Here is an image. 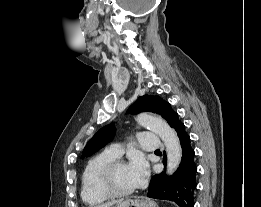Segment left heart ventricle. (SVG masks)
<instances>
[{"label":"left heart ventricle","instance_id":"1","mask_svg":"<svg viewBox=\"0 0 261 207\" xmlns=\"http://www.w3.org/2000/svg\"><path fill=\"white\" fill-rule=\"evenodd\" d=\"M113 185L116 189L121 191L134 188L127 165H121L116 168L113 174Z\"/></svg>","mask_w":261,"mask_h":207}]
</instances>
